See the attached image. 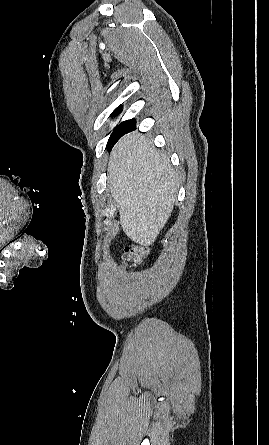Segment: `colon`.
<instances>
[{"label":"colon","instance_id":"colon-1","mask_svg":"<svg viewBox=\"0 0 269 445\" xmlns=\"http://www.w3.org/2000/svg\"><path fill=\"white\" fill-rule=\"evenodd\" d=\"M146 256V250L137 245L128 246L124 250L123 259L127 264H137Z\"/></svg>","mask_w":269,"mask_h":445}]
</instances>
